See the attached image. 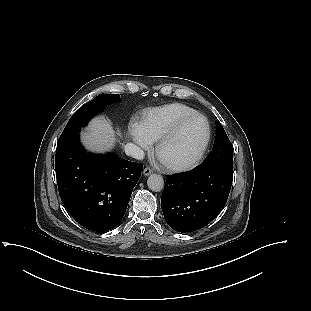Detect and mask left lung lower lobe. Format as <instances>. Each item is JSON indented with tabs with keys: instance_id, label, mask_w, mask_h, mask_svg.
Wrapping results in <instances>:
<instances>
[{
	"instance_id": "0a47b994",
	"label": "left lung lower lobe",
	"mask_w": 311,
	"mask_h": 311,
	"mask_svg": "<svg viewBox=\"0 0 311 311\" xmlns=\"http://www.w3.org/2000/svg\"><path fill=\"white\" fill-rule=\"evenodd\" d=\"M233 180V168L203 164L192 173L168 177L161 205L175 231L194 232L209 224L223 209Z\"/></svg>"
}]
</instances>
